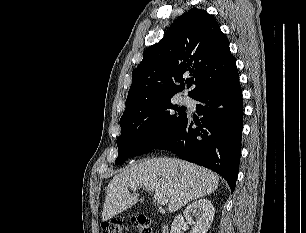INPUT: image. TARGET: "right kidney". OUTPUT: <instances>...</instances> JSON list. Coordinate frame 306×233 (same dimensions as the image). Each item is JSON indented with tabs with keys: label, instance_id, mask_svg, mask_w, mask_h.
Returning a JSON list of instances; mask_svg holds the SVG:
<instances>
[{
	"label": "right kidney",
	"instance_id": "ca27d5eb",
	"mask_svg": "<svg viewBox=\"0 0 306 233\" xmlns=\"http://www.w3.org/2000/svg\"><path fill=\"white\" fill-rule=\"evenodd\" d=\"M214 213L215 209L211 201L207 199L196 200L186 207L183 216L179 215L174 219L170 233H182L186 224L193 225L191 233H207L213 221Z\"/></svg>",
	"mask_w": 306,
	"mask_h": 233
}]
</instances>
